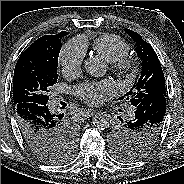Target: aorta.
I'll list each match as a JSON object with an SVG mask.
<instances>
[{
  "label": "aorta",
  "instance_id": "1",
  "mask_svg": "<svg viewBox=\"0 0 184 184\" xmlns=\"http://www.w3.org/2000/svg\"><path fill=\"white\" fill-rule=\"evenodd\" d=\"M84 68L86 72L95 77L103 76L106 72L105 66L94 57L85 60ZM112 117L107 112H98L93 117V125L98 130H105L111 126Z\"/></svg>",
  "mask_w": 184,
  "mask_h": 184
}]
</instances>
